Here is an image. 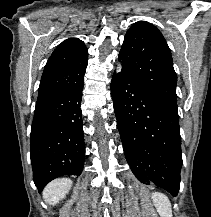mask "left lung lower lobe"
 Wrapping results in <instances>:
<instances>
[{
    "mask_svg": "<svg viewBox=\"0 0 211 217\" xmlns=\"http://www.w3.org/2000/svg\"><path fill=\"white\" fill-rule=\"evenodd\" d=\"M111 95L126 160L143 184L176 196L182 167L178 112L123 71L114 73Z\"/></svg>",
    "mask_w": 211,
    "mask_h": 217,
    "instance_id": "left-lung-lower-lobe-1",
    "label": "left lung lower lobe"
}]
</instances>
